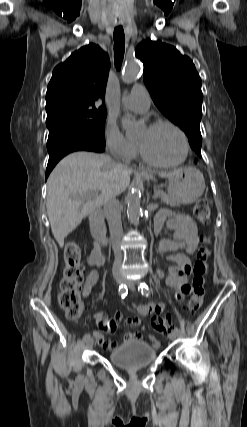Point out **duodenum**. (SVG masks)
Instances as JSON below:
<instances>
[{"mask_svg":"<svg viewBox=\"0 0 247 427\" xmlns=\"http://www.w3.org/2000/svg\"><path fill=\"white\" fill-rule=\"evenodd\" d=\"M90 230L98 245L107 244L106 228L103 223L102 209H95L89 216Z\"/></svg>","mask_w":247,"mask_h":427,"instance_id":"obj_1","label":"duodenum"}]
</instances>
